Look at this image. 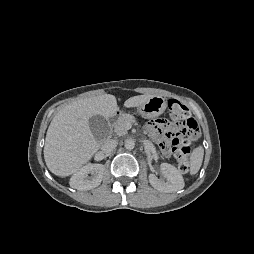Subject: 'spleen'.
<instances>
[{"mask_svg": "<svg viewBox=\"0 0 254 254\" xmlns=\"http://www.w3.org/2000/svg\"><path fill=\"white\" fill-rule=\"evenodd\" d=\"M203 156H204V150L201 146L195 148L193 152L191 153L190 161H189L191 175H195L199 171L202 165Z\"/></svg>", "mask_w": 254, "mask_h": 254, "instance_id": "3e777b00", "label": "spleen"}]
</instances>
